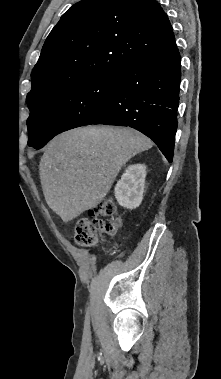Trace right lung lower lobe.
Masks as SVG:
<instances>
[{"label":"right lung lower lobe","instance_id":"1","mask_svg":"<svg viewBox=\"0 0 221 379\" xmlns=\"http://www.w3.org/2000/svg\"><path fill=\"white\" fill-rule=\"evenodd\" d=\"M180 61L173 41L121 69L111 101L88 124L135 128L151 138L172 162L178 124Z\"/></svg>","mask_w":221,"mask_h":379}]
</instances>
